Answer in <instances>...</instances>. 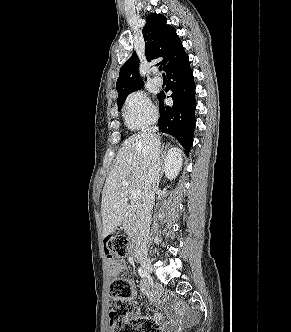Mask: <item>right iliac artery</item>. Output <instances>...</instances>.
Segmentation results:
<instances>
[{
  "mask_svg": "<svg viewBox=\"0 0 291 332\" xmlns=\"http://www.w3.org/2000/svg\"><path fill=\"white\" fill-rule=\"evenodd\" d=\"M138 273L141 277H145L146 276V272L140 267L138 268Z\"/></svg>",
  "mask_w": 291,
  "mask_h": 332,
  "instance_id": "obj_1",
  "label": "right iliac artery"
}]
</instances>
